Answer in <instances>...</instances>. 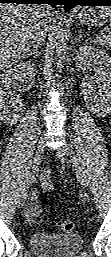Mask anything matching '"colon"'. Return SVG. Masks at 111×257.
Masks as SVG:
<instances>
[{"instance_id": "obj_1", "label": "colon", "mask_w": 111, "mask_h": 257, "mask_svg": "<svg viewBox=\"0 0 111 257\" xmlns=\"http://www.w3.org/2000/svg\"><path fill=\"white\" fill-rule=\"evenodd\" d=\"M41 202H42L43 205L46 206L47 205V198L45 196H43L41 198ZM58 226L62 231L67 232V233L72 232L75 228V224L71 220H61V221L58 222Z\"/></svg>"}]
</instances>
